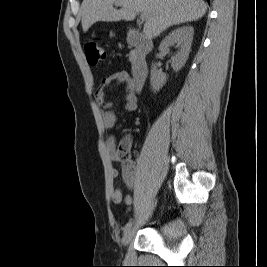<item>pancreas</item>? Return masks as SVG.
Wrapping results in <instances>:
<instances>
[{"mask_svg": "<svg viewBox=\"0 0 267 267\" xmlns=\"http://www.w3.org/2000/svg\"><path fill=\"white\" fill-rule=\"evenodd\" d=\"M130 56H131L130 59H133V54L132 53L130 54Z\"/></svg>", "mask_w": 267, "mask_h": 267, "instance_id": "1", "label": "pancreas"}]
</instances>
